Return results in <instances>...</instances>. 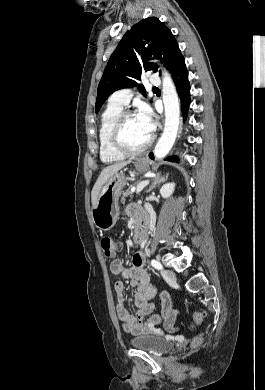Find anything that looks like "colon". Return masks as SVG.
<instances>
[{
  "label": "colon",
  "mask_w": 265,
  "mask_h": 390,
  "mask_svg": "<svg viewBox=\"0 0 265 390\" xmlns=\"http://www.w3.org/2000/svg\"><path fill=\"white\" fill-rule=\"evenodd\" d=\"M101 247L106 258H114L116 256L117 250L115 247V241L111 237H104L101 240ZM205 317L203 311H196L193 315L192 325L197 326L201 324ZM201 337L196 338V342L201 341Z\"/></svg>",
  "instance_id": "5ec220e1"
}]
</instances>
